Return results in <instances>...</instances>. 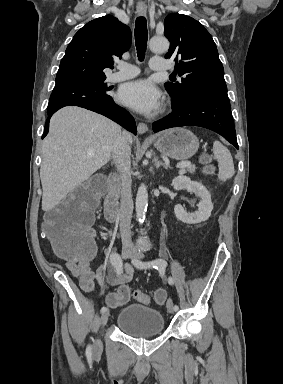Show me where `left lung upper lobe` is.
<instances>
[{"instance_id": "obj_1", "label": "left lung upper lobe", "mask_w": 283, "mask_h": 384, "mask_svg": "<svg viewBox=\"0 0 283 384\" xmlns=\"http://www.w3.org/2000/svg\"><path fill=\"white\" fill-rule=\"evenodd\" d=\"M170 48L165 58L175 61L181 82H167L172 101L183 102L199 94L227 93L223 65L210 33L197 20L173 13L164 21Z\"/></svg>"}]
</instances>
